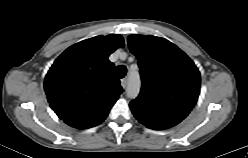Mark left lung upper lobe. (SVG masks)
I'll list each match as a JSON object with an SVG mask.
<instances>
[{
  "instance_id": "5c2ea615",
  "label": "left lung upper lobe",
  "mask_w": 248,
  "mask_h": 158,
  "mask_svg": "<svg viewBox=\"0 0 248 158\" xmlns=\"http://www.w3.org/2000/svg\"><path fill=\"white\" fill-rule=\"evenodd\" d=\"M128 44L138 59L142 80L139 96L130 102L134 116L154 130L177 125L198 100L201 84L198 68L164 38L132 34Z\"/></svg>"
}]
</instances>
